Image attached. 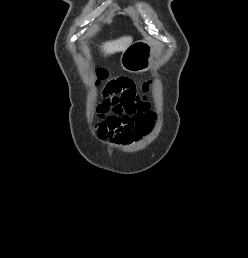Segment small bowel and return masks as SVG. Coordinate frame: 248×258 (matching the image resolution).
I'll use <instances>...</instances> for the list:
<instances>
[{"instance_id": "1", "label": "small bowel", "mask_w": 248, "mask_h": 258, "mask_svg": "<svg viewBox=\"0 0 248 258\" xmlns=\"http://www.w3.org/2000/svg\"><path fill=\"white\" fill-rule=\"evenodd\" d=\"M106 91L115 94L110 100L114 114L123 117L119 126L109 127L102 123L98 127L100 135L116 144H126L151 131L154 125L149 103L136 91L127 78H118L107 84Z\"/></svg>"}]
</instances>
